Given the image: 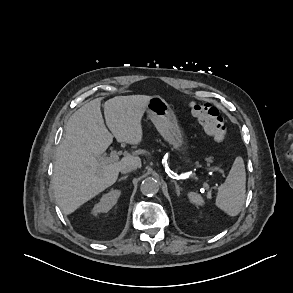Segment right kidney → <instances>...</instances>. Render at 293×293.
<instances>
[{
    "label": "right kidney",
    "instance_id": "obj_1",
    "mask_svg": "<svg viewBox=\"0 0 293 293\" xmlns=\"http://www.w3.org/2000/svg\"><path fill=\"white\" fill-rule=\"evenodd\" d=\"M119 196H120L119 190H112L108 192L107 194H104L101 197L100 202L94 206L93 212L94 213L108 212L117 203Z\"/></svg>",
    "mask_w": 293,
    "mask_h": 293
}]
</instances>
